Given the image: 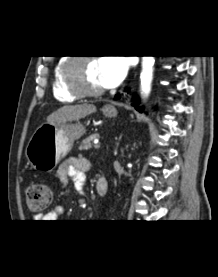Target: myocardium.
I'll return each instance as SVG.
<instances>
[{
  "instance_id": "myocardium-1",
  "label": "myocardium",
  "mask_w": 218,
  "mask_h": 277,
  "mask_svg": "<svg viewBox=\"0 0 218 277\" xmlns=\"http://www.w3.org/2000/svg\"><path fill=\"white\" fill-rule=\"evenodd\" d=\"M91 57L70 58L62 66V77L68 92L80 98L96 97L104 93L103 88L87 89L83 82L84 67Z\"/></svg>"
}]
</instances>
